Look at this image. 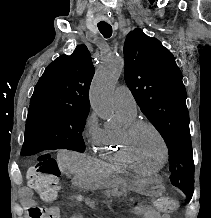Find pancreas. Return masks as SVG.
<instances>
[{
  "instance_id": "obj_1",
  "label": "pancreas",
  "mask_w": 211,
  "mask_h": 218,
  "mask_svg": "<svg viewBox=\"0 0 211 218\" xmlns=\"http://www.w3.org/2000/svg\"><path fill=\"white\" fill-rule=\"evenodd\" d=\"M104 195H115L118 194V196H127V190H122V192H116L115 190H104L103 191Z\"/></svg>"
}]
</instances>
